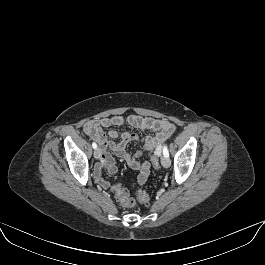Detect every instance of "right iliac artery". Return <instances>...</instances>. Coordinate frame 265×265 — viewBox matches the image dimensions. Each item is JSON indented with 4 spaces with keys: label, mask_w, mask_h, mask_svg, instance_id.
<instances>
[{
    "label": "right iliac artery",
    "mask_w": 265,
    "mask_h": 265,
    "mask_svg": "<svg viewBox=\"0 0 265 265\" xmlns=\"http://www.w3.org/2000/svg\"><path fill=\"white\" fill-rule=\"evenodd\" d=\"M92 147H93L94 149H96V148H97V144H96L95 142H93V143H92Z\"/></svg>",
    "instance_id": "1"
}]
</instances>
